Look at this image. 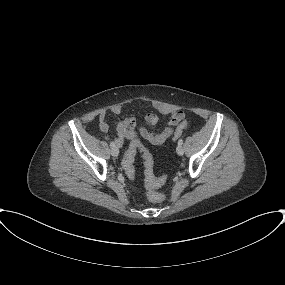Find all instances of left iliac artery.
Here are the masks:
<instances>
[{"label":"left iliac artery","mask_w":285,"mask_h":285,"mask_svg":"<svg viewBox=\"0 0 285 285\" xmlns=\"http://www.w3.org/2000/svg\"><path fill=\"white\" fill-rule=\"evenodd\" d=\"M182 144H183V140H182V139H179L178 145H181V146H182Z\"/></svg>","instance_id":"44dca946"}]
</instances>
